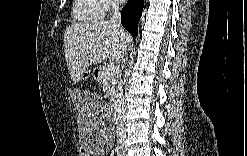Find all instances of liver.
<instances>
[{
    "mask_svg": "<svg viewBox=\"0 0 247 156\" xmlns=\"http://www.w3.org/2000/svg\"><path fill=\"white\" fill-rule=\"evenodd\" d=\"M131 43V37L121 26L110 21L75 23L64 33L67 68L74 84L90 65L120 62Z\"/></svg>",
    "mask_w": 247,
    "mask_h": 156,
    "instance_id": "obj_1",
    "label": "liver"
}]
</instances>
